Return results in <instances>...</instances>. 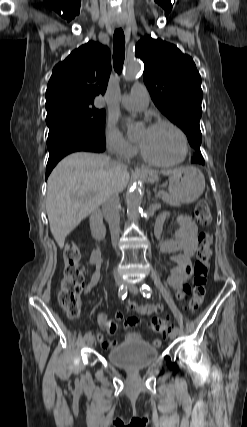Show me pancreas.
Listing matches in <instances>:
<instances>
[{"mask_svg": "<svg viewBox=\"0 0 247 427\" xmlns=\"http://www.w3.org/2000/svg\"><path fill=\"white\" fill-rule=\"evenodd\" d=\"M157 196L162 199V201L170 206H179L180 203L173 198L170 194L165 191H159Z\"/></svg>", "mask_w": 247, "mask_h": 427, "instance_id": "obj_1", "label": "pancreas"}]
</instances>
